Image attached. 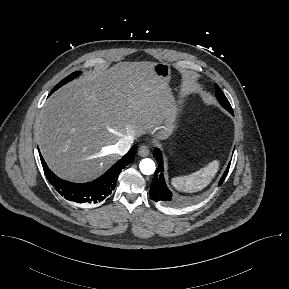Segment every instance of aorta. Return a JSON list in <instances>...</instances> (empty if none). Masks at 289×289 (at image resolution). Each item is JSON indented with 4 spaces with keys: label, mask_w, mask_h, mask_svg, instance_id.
Masks as SVG:
<instances>
[{
    "label": "aorta",
    "mask_w": 289,
    "mask_h": 289,
    "mask_svg": "<svg viewBox=\"0 0 289 289\" xmlns=\"http://www.w3.org/2000/svg\"><path fill=\"white\" fill-rule=\"evenodd\" d=\"M140 171L145 175H151L155 172V163L152 159L145 158L141 160L140 164Z\"/></svg>",
    "instance_id": "1"
}]
</instances>
